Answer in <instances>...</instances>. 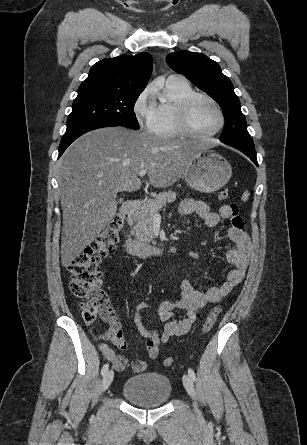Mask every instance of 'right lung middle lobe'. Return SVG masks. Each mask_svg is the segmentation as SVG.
Masks as SVG:
<instances>
[{
    "label": "right lung middle lobe",
    "mask_w": 307,
    "mask_h": 445,
    "mask_svg": "<svg viewBox=\"0 0 307 445\" xmlns=\"http://www.w3.org/2000/svg\"><path fill=\"white\" fill-rule=\"evenodd\" d=\"M139 96L91 94L74 99L72 112L67 119V129L84 124L106 123L139 129L133 111Z\"/></svg>",
    "instance_id": "obj_1"
}]
</instances>
